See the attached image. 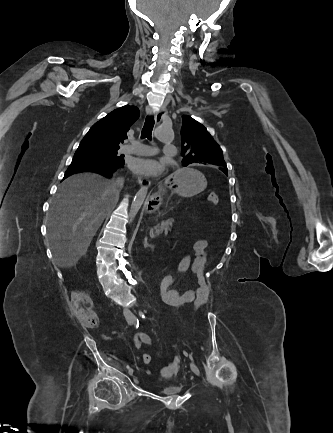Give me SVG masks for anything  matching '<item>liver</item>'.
Returning <instances> with one entry per match:
<instances>
[{"label": "liver", "mask_w": 333, "mask_h": 433, "mask_svg": "<svg viewBox=\"0 0 333 433\" xmlns=\"http://www.w3.org/2000/svg\"><path fill=\"white\" fill-rule=\"evenodd\" d=\"M118 196L115 181L95 173H78L64 180L47 215L55 264L61 268L76 266Z\"/></svg>", "instance_id": "liver-1"}]
</instances>
